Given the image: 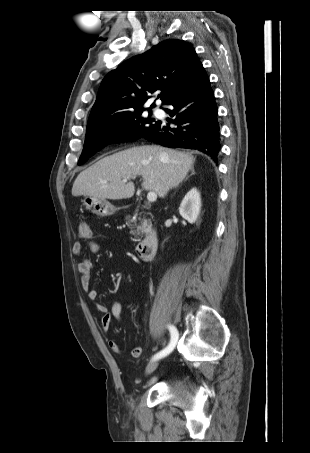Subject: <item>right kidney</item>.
<instances>
[{
	"label": "right kidney",
	"instance_id": "ca27d5eb",
	"mask_svg": "<svg viewBox=\"0 0 310 453\" xmlns=\"http://www.w3.org/2000/svg\"><path fill=\"white\" fill-rule=\"evenodd\" d=\"M201 208L200 194L196 188H192L183 198L180 207V215L193 224L198 218Z\"/></svg>",
	"mask_w": 310,
	"mask_h": 453
}]
</instances>
